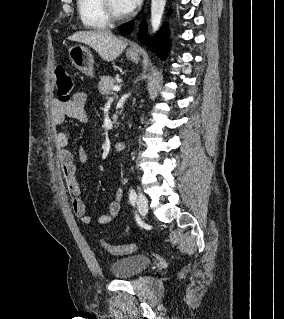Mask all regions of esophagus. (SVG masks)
Listing matches in <instances>:
<instances>
[{
    "label": "esophagus",
    "instance_id": "esophagus-1",
    "mask_svg": "<svg viewBox=\"0 0 284 319\" xmlns=\"http://www.w3.org/2000/svg\"><path fill=\"white\" fill-rule=\"evenodd\" d=\"M133 51H137V48L134 46L133 48H131Z\"/></svg>",
    "mask_w": 284,
    "mask_h": 319
}]
</instances>
